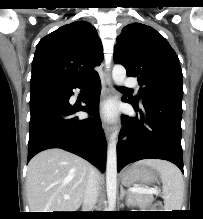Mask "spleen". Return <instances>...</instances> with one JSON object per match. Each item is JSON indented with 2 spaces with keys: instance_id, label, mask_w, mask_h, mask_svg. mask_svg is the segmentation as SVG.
Instances as JSON below:
<instances>
[{
  "instance_id": "3e777b00",
  "label": "spleen",
  "mask_w": 203,
  "mask_h": 219,
  "mask_svg": "<svg viewBox=\"0 0 203 219\" xmlns=\"http://www.w3.org/2000/svg\"><path fill=\"white\" fill-rule=\"evenodd\" d=\"M136 165H147L159 172L163 184L165 211L181 210L184 182L180 170L174 164L159 159H144Z\"/></svg>"
}]
</instances>
